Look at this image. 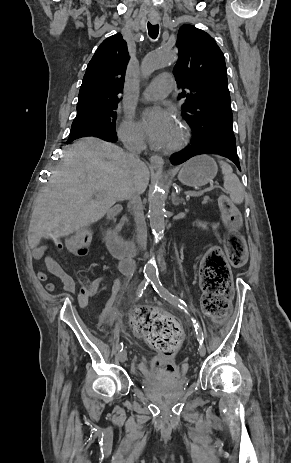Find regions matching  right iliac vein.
<instances>
[{"instance_id":"63e3f726","label":"right iliac vein","mask_w":291,"mask_h":463,"mask_svg":"<svg viewBox=\"0 0 291 463\" xmlns=\"http://www.w3.org/2000/svg\"><path fill=\"white\" fill-rule=\"evenodd\" d=\"M118 358L122 363L127 360V352L125 349L119 351Z\"/></svg>"}]
</instances>
